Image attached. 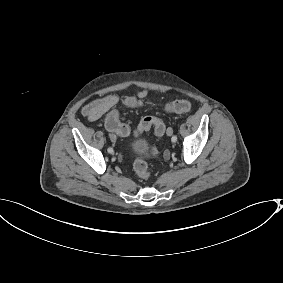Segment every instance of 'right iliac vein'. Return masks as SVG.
<instances>
[{"instance_id": "63e3f726", "label": "right iliac vein", "mask_w": 283, "mask_h": 283, "mask_svg": "<svg viewBox=\"0 0 283 283\" xmlns=\"http://www.w3.org/2000/svg\"><path fill=\"white\" fill-rule=\"evenodd\" d=\"M111 140H112V142H115V141H116V139H115L114 136L111 137Z\"/></svg>"}]
</instances>
